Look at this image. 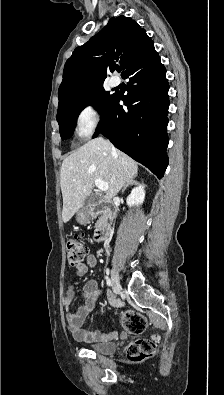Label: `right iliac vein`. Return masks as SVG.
<instances>
[{
  "label": "right iliac vein",
  "instance_id": "63e3f726",
  "mask_svg": "<svg viewBox=\"0 0 224 395\" xmlns=\"http://www.w3.org/2000/svg\"><path fill=\"white\" fill-rule=\"evenodd\" d=\"M111 280H112V284H113L115 292L119 293L122 290V287H121V284L119 281L118 274L114 268L111 270Z\"/></svg>",
  "mask_w": 224,
  "mask_h": 395
}]
</instances>
